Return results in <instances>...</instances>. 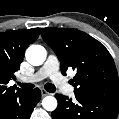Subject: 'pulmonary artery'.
<instances>
[{
    "instance_id": "e3ab8cb5",
    "label": "pulmonary artery",
    "mask_w": 119,
    "mask_h": 119,
    "mask_svg": "<svg viewBox=\"0 0 119 119\" xmlns=\"http://www.w3.org/2000/svg\"><path fill=\"white\" fill-rule=\"evenodd\" d=\"M49 77L57 87L70 95L73 94V87H71L67 82L65 77L59 72V62L54 55H49L44 65L32 76L30 77H21L20 81L27 82H36L43 80Z\"/></svg>"
}]
</instances>
